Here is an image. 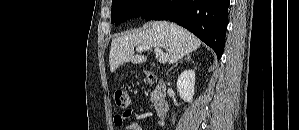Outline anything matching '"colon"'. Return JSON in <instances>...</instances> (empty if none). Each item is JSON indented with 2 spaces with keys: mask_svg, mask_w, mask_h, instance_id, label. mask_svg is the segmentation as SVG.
Instances as JSON below:
<instances>
[{
  "mask_svg": "<svg viewBox=\"0 0 299 130\" xmlns=\"http://www.w3.org/2000/svg\"><path fill=\"white\" fill-rule=\"evenodd\" d=\"M149 81H155L153 77H149ZM115 103L117 107L121 109H126L130 105V97L129 94L123 90V89H118L115 92Z\"/></svg>",
  "mask_w": 299,
  "mask_h": 130,
  "instance_id": "5ec220e1",
  "label": "colon"
}]
</instances>
